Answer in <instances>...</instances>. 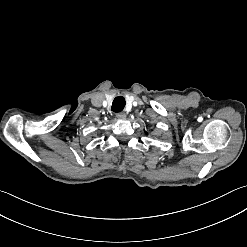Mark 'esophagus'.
Segmentation results:
<instances>
[{
    "label": "esophagus",
    "instance_id": "34e87169",
    "mask_svg": "<svg viewBox=\"0 0 247 247\" xmlns=\"http://www.w3.org/2000/svg\"><path fill=\"white\" fill-rule=\"evenodd\" d=\"M116 117L118 119H125L126 118V113L125 112H119L118 114H116Z\"/></svg>",
    "mask_w": 247,
    "mask_h": 247
}]
</instances>
